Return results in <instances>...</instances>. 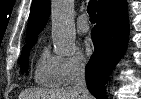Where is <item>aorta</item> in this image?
<instances>
[{
  "instance_id": "762f6f07",
  "label": "aorta",
  "mask_w": 141,
  "mask_h": 99,
  "mask_svg": "<svg viewBox=\"0 0 141 99\" xmlns=\"http://www.w3.org/2000/svg\"><path fill=\"white\" fill-rule=\"evenodd\" d=\"M52 39L59 54L75 51L74 1L53 0L51 3Z\"/></svg>"
}]
</instances>
